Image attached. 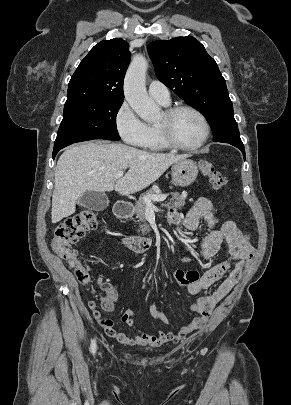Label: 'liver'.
Masks as SVG:
<instances>
[{"instance_id":"1","label":"liver","mask_w":291,"mask_h":405,"mask_svg":"<svg viewBox=\"0 0 291 405\" xmlns=\"http://www.w3.org/2000/svg\"><path fill=\"white\" fill-rule=\"evenodd\" d=\"M186 155L161 154L139 150L120 143H82L66 149L55 168L52 196V223L69 217L87 191L115 190L129 195L155 182L172 164ZM129 168L115 181V174Z\"/></svg>"}]
</instances>
